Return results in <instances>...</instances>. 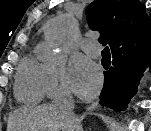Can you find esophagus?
<instances>
[{
  "instance_id": "1",
  "label": "esophagus",
  "mask_w": 151,
  "mask_h": 131,
  "mask_svg": "<svg viewBox=\"0 0 151 131\" xmlns=\"http://www.w3.org/2000/svg\"><path fill=\"white\" fill-rule=\"evenodd\" d=\"M98 106V102L97 101H92L88 107L86 108L87 111H92L95 110Z\"/></svg>"
}]
</instances>
